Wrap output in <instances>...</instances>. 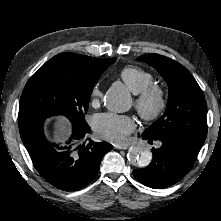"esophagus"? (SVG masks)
Listing matches in <instances>:
<instances>
[{"mask_svg": "<svg viewBox=\"0 0 221 221\" xmlns=\"http://www.w3.org/2000/svg\"><path fill=\"white\" fill-rule=\"evenodd\" d=\"M115 148L119 150H126L129 148V145H116Z\"/></svg>", "mask_w": 221, "mask_h": 221, "instance_id": "obj_1", "label": "esophagus"}]
</instances>
